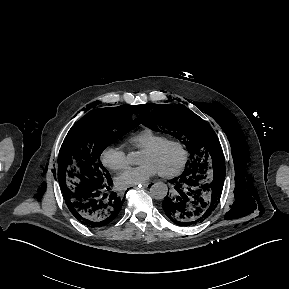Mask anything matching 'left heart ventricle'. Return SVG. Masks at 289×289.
Wrapping results in <instances>:
<instances>
[{"label":"left heart ventricle","mask_w":289,"mask_h":289,"mask_svg":"<svg viewBox=\"0 0 289 289\" xmlns=\"http://www.w3.org/2000/svg\"><path fill=\"white\" fill-rule=\"evenodd\" d=\"M182 158L180 149L175 145H169L158 153L143 151L140 156V164H152L159 172H168L175 169Z\"/></svg>","instance_id":"left-heart-ventricle-1"}]
</instances>
